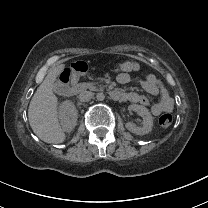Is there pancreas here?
Masks as SVG:
<instances>
[{"instance_id":"pancreas-1","label":"pancreas","mask_w":208,"mask_h":208,"mask_svg":"<svg viewBox=\"0 0 208 208\" xmlns=\"http://www.w3.org/2000/svg\"><path fill=\"white\" fill-rule=\"evenodd\" d=\"M76 86H80L82 88V90L89 89L91 91H104L103 86H100V85H98L96 83H92V82L80 83V84H77Z\"/></svg>"}]
</instances>
